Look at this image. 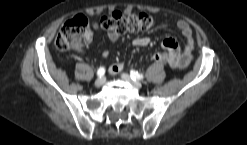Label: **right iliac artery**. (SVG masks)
I'll use <instances>...</instances> for the list:
<instances>
[{"instance_id":"1","label":"right iliac artery","mask_w":247,"mask_h":145,"mask_svg":"<svg viewBox=\"0 0 247 145\" xmlns=\"http://www.w3.org/2000/svg\"><path fill=\"white\" fill-rule=\"evenodd\" d=\"M105 74V68L104 67H100L97 71V75L99 77H102Z\"/></svg>"}]
</instances>
